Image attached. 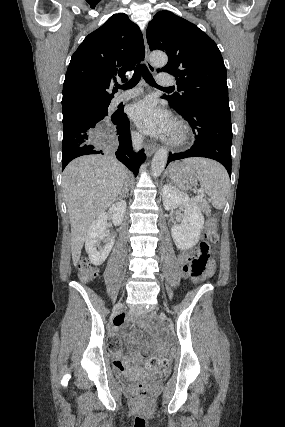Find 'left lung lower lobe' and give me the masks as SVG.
I'll return each mask as SVG.
<instances>
[{
  "label": "left lung lower lobe",
  "instance_id": "0a47b994",
  "mask_svg": "<svg viewBox=\"0 0 285 427\" xmlns=\"http://www.w3.org/2000/svg\"><path fill=\"white\" fill-rule=\"evenodd\" d=\"M172 107L189 122L196 141L185 152L170 153L168 163L188 157L211 158L220 162L231 176L232 127L229 106L197 102L184 110Z\"/></svg>",
  "mask_w": 285,
  "mask_h": 427
}]
</instances>
